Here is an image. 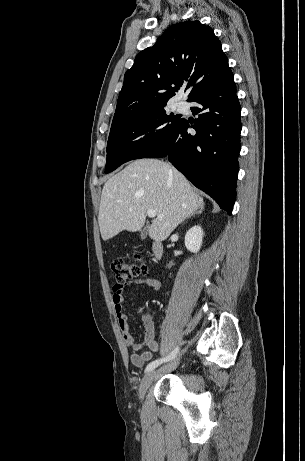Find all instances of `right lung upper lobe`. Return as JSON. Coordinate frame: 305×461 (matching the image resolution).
<instances>
[{
    "instance_id": "cb5924a9",
    "label": "right lung upper lobe",
    "mask_w": 305,
    "mask_h": 461,
    "mask_svg": "<svg viewBox=\"0 0 305 461\" xmlns=\"http://www.w3.org/2000/svg\"><path fill=\"white\" fill-rule=\"evenodd\" d=\"M230 73L228 59L210 27L199 21L175 24L141 51L125 73L112 125L165 106L184 84L192 88L190 101Z\"/></svg>"
}]
</instances>
